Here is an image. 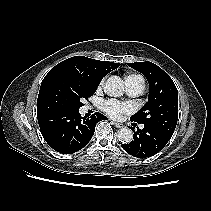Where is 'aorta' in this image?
Segmentation results:
<instances>
[{"instance_id": "aorta-1", "label": "aorta", "mask_w": 211, "mask_h": 211, "mask_svg": "<svg viewBox=\"0 0 211 211\" xmlns=\"http://www.w3.org/2000/svg\"><path fill=\"white\" fill-rule=\"evenodd\" d=\"M104 91L111 97H120L124 93V84L120 77L111 76L104 85ZM118 140L121 143L128 144L133 139V132L129 128H123L118 132Z\"/></svg>"}]
</instances>
